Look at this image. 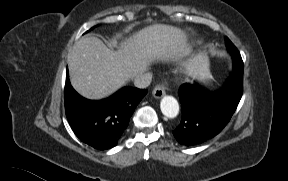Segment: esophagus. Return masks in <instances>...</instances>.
Listing matches in <instances>:
<instances>
[{
	"instance_id": "obj_1",
	"label": "esophagus",
	"mask_w": 288,
	"mask_h": 181,
	"mask_svg": "<svg viewBox=\"0 0 288 181\" xmlns=\"http://www.w3.org/2000/svg\"><path fill=\"white\" fill-rule=\"evenodd\" d=\"M152 94L156 99H160L161 97H163L165 95V90H164L163 85H157L153 89Z\"/></svg>"
}]
</instances>
